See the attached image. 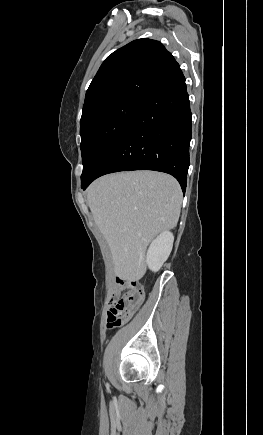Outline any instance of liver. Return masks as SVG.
I'll use <instances>...</instances> for the list:
<instances>
[{
    "mask_svg": "<svg viewBox=\"0 0 263 435\" xmlns=\"http://www.w3.org/2000/svg\"><path fill=\"white\" fill-rule=\"evenodd\" d=\"M87 203L109 245L115 275L138 281L146 273L148 244L177 225L182 191L168 174L121 172L94 181L87 190Z\"/></svg>",
    "mask_w": 263,
    "mask_h": 435,
    "instance_id": "liver-1",
    "label": "liver"
}]
</instances>
